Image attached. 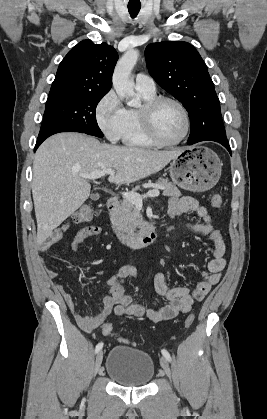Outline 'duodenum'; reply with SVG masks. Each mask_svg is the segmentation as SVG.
I'll return each instance as SVG.
<instances>
[{"instance_id": "obj_1", "label": "duodenum", "mask_w": 267, "mask_h": 419, "mask_svg": "<svg viewBox=\"0 0 267 419\" xmlns=\"http://www.w3.org/2000/svg\"><path fill=\"white\" fill-rule=\"evenodd\" d=\"M119 206L120 199L118 197H111L106 204L109 214H113L119 208ZM113 230L119 241L127 246L134 248L152 245L157 241L159 237V230L157 228H150L134 235L126 234L116 226L113 227Z\"/></svg>"}]
</instances>
